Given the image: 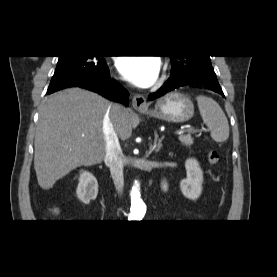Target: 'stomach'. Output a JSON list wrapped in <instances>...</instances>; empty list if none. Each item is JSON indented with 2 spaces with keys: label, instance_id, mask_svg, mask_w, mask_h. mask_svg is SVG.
<instances>
[{
  "label": "stomach",
  "instance_id": "0dacf381",
  "mask_svg": "<svg viewBox=\"0 0 277 277\" xmlns=\"http://www.w3.org/2000/svg\"><path fill=\"white\" fill-rule=\"evenodd\" d=\"M141 113L172 123H183L194 115L191 99L178 92H171L157 100L153 110H140Z\"/></svg>",
  "mask_w": 277,
  "mask_h": 277
}]
</instances>
